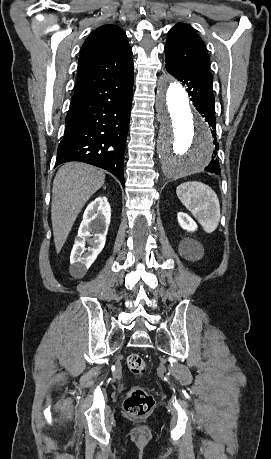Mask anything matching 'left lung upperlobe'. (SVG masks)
Here are the masks:
<instances>
[{
    "instance_id": "1",
    "label": "left lung upper lobe",
    "mask_w": 271,
    "mask_h": 459,
    "mask_svg": "<svg viewBox=\"0 0 271 459\" xmlns=\"http://www.w3.org/2000/svg\"><path fill=\"white\" fill-rule=\"evenodd\" d=\"M166 65L187 72H210L206 46L188 24L178 23L170 29L165 45Z\"/></svg>"
}]
</instances>
